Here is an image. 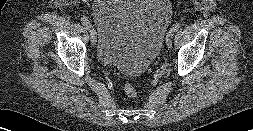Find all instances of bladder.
I'll list each match as a JSON object with an SVG mask.
<instances>
[{
	"label": "bladder",
	"mask_w": 253,
	"mask_h": 131,
	"mask_svg": "<svg viewBox=\"0 0 253 131\" xmlns=\"http://www.w3.org/2000/svg\"><path fill=\"white\" fill-rule=\"evenodd\" d=\"M171 13L167 0H97L98 59L123 74H142L161 49Z\"/></svg>",
	"instance_id": "31cf9c89"
}]
</instances>
